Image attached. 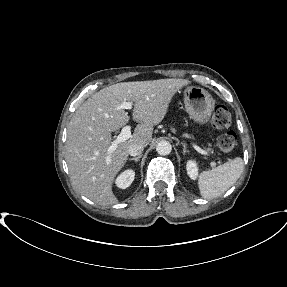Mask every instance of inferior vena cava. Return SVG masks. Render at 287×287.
I'll return each instance as SVG.
<instances>
[{
  "label": "inferior vena cava",
  "mask_w": 287,
  "mask_h": 287,
  "mask_svg": "<svg viewBox=\"0 0 287 287\" xmlns=\"http://www.w3.org/2000/svg\"><path fill=\"white\" fill-rule=\"evenodd\" d=\"M144 149V144L141 142H134L129 146L128 154L131 156H139L141 155Z\"/></svg>",
  "instance_id": "inferior-vena-cava-1"
}]
</instances>
